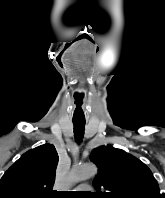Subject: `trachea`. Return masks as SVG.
<instances>
[{"instance_id": "trachea-1", "label": "trachea", "mask_w": 165, "mask_h": 198, "mask_svg": "<svg viewBox=\"0 0 165 198\" xmlns=\"http://www.w3.org/2000/svg\"><path fill=\"white\" fill-rule=\"evenodd\" d=\"M74 124V135L78 142L81 141L85 130V121H73Z\"/></svg>"}]
</instances>
